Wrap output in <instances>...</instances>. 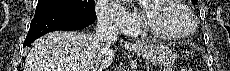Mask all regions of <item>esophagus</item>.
I'll return each mask as SVG.
<instances>
[{"label":"esophagus","instance_id":"obj_1","mask_svg":"<svg viewBox=\"0 0 230 71\" xmlns=\"http://www.w3.org/2000/svg\"><path fill=\"white\" fill-rule=\"evenodd\" d=\"M130 45H131V46H138L139 43H133V42H132V43H130Z\"/></svg>","mask_w":230,"mask_h":71}]
</instances>
